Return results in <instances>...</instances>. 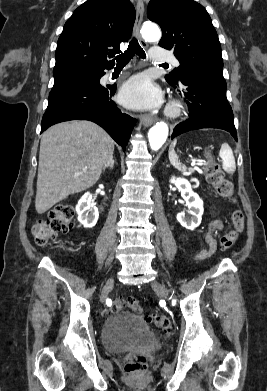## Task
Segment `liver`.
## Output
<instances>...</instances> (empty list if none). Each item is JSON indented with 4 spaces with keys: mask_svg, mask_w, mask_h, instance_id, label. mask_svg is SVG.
Here are the masks:
<instances>
[{
    "mask_svg": "<svg viewBox=\"0 0 267 391\" xmlns=\"http://www.w3.org/2000/svg\"><path fill=\"white\" fill-rule=\"evenodd\" d=\"M114 141L90 121L59 123L40 142L35 208L43 214L55 204L92 187L113 157Z\"/></svg>",
    "mask_w": 267,
    "mask_h": 391,
    "instance_id": "1",
    "label": "liver"
}]
</instances>
